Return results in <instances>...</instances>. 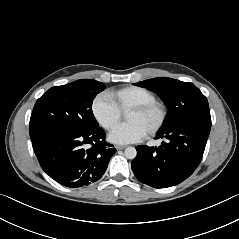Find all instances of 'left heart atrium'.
<instances>
[{
	"mask_svg": "<svg viewBox=\"0 0 239 239\" xmlns=\"http://www.w3.org/2000/svg\"><path fill=\"white\" fill-rule=\"evenodd\" d=\"M147 132L137 123H124L115 127L109 134V139L117 144H128L144 139Z\"/></svg>",
	"mask_w": 239,
	"mask_h": 239,
	"instance_id": "39dd6f15",
	"label": "left heart atrium"
}]
</instances>
